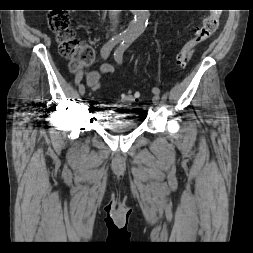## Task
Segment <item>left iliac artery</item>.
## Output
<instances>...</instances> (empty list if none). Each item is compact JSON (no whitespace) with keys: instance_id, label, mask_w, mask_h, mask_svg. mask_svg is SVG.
Wrapping results in <instances>:
<instances>
[{"instance_id":"obj_1","label":"left iliac artery","mask_w":253,"mask_h":253,"mask_svg":"<svg viewBox=\"0 0 253 253\" xmlns=\"http://www.w3.org/2000/svg\"><path fill=\"white\" fill-rule=\"evenodd\" d=\"M132 43V40L131 39H125L122 41L121 45L116 49L115 53H114V57H115V60L118 62V63H122V60H123V54L125 52V50L131 45ZM152 92L154 94H160V89L158 87H154L152 89Z\"/></svg>"}]
</instances>
